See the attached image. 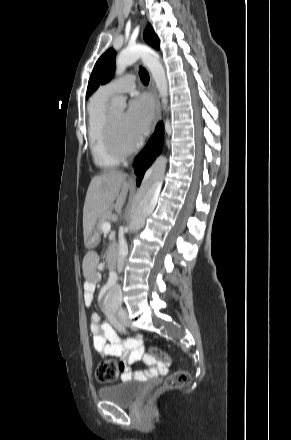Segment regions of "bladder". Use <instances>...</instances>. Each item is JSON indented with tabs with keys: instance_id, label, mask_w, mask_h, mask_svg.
<instances>
[{
	"instance_id": "1",
	"label": "bladder",
	"mask_w": 291,
	"mask_h": 440,
	"mask_svg": "<svg viewBox=\"0 0 291 440\" xmlns=\"http://www.w3.org/2000/svg\"><path fill=\"white\" fill-rule=\"evenodd\" d=\"M140 394L141 388L132 381L111 384L98 390L100 399L118 405H130Z\"/></svg>"
}]
</instances>
